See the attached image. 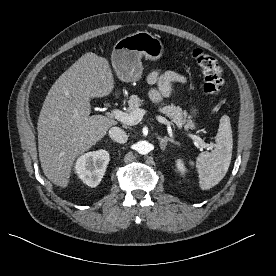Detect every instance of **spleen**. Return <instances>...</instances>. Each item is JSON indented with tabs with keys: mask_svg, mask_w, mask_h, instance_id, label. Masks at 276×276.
I'll return each instance as SVG.
<instances>
[{
	"mask_svg": "<svg viewBox=\"0 0 276 276\" xmlns=\"http://www.w3.org/2000/svg\"><path fill=\"white\" fill-rule=\"evenodd\" d=\"M232 149L233 138L230 118L224 115L220 119L214 150L202 152L196 159L199 185L202 190L214 187L224 178L230 166ZM189 164L194 165L192 161Z\"/></svg>",
	"mask_w": 276,
	"mask_h": 276,
	"instance_id": "spleen-1",
	"label": "spleen"
}]
</instances>
